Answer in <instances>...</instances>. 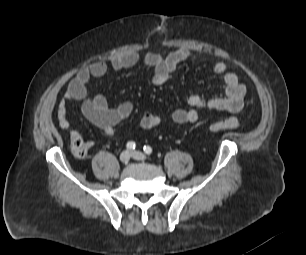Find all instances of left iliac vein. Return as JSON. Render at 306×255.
I'll return each mask as SVG.
<instances>
[{
	"mask_svg": "<svg viewBox=\"0 0 306 255\" xmlns=\"http://www.w3.org/2000/svg\"><path fill=\"white\" fill-rule=\"evenodd\" d=\"M131 157L135 160H140V161H145L146 160V155L143 154L140 151H132L130 153Z\"/></svg>",
	"mask_w": 306,
	"mask_h": 255,
	"instance_id": "left-iliac-vein-1",
	"label": "left iliac vein"
}]
</instances>
